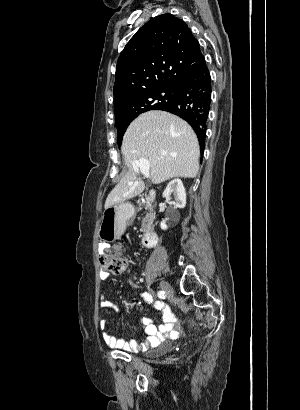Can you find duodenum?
<instances>
[{"mask_svg":"<svg viewBox=\"0 0 300 410\" xmlns=\"http://www.w3.org/2000/svg\"><path fill=\"white\" fill-rule=\"evenodd\" d=\"M148 196L151 200H155L157 197V194L156 192L151 191ZM157 242H158V234L155 231L149 230L142 237L143 247L152 248L157 244Z\"/></svg>","mask_w":300,"mask_h":410,"instance_id":"1","label":"duodenum"}]
</instances>
